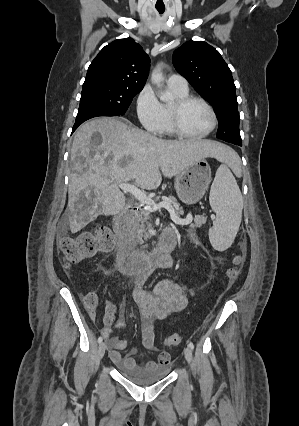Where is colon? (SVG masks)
Segmentation results:
<instances>
[{
  "label": "colon",
  "instance_id": "obj_1",
  "mask_svg": "<svg viewBox=\"0 0 299 426\" xmlns=\"http://www.w3.org/2000/svg\"><path fill=\"white\" fill-rule=\"evenodd\" d=\"M59 245L65 263L75 265L99 253L111 251L115 246V236L108 227L102 226L94 232L83 233L76 238L63 237ZM243 260L244 256L241 254L236 260V266L228 270L227 276L230 282L235 281L240 275ZM85 303L87 308L93 311L97 306V298L89 294L85 297ZM164 342L167 346H177L181 344L182 337L179 334H172Z\"/></svg>",
  "mask_w": 299,
  "mask_h": 426
}]
</instances>
